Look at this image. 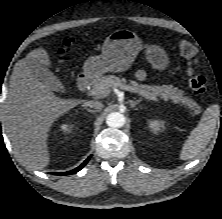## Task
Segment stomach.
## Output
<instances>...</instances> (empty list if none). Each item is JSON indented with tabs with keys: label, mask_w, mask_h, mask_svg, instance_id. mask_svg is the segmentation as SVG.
<instances>
[{
	"label": "stomach",
	"mask_w": 222,
	"mask_h": 219,
	"mask_svg": "<svg viewBox=\"0 0 222 219\" xmlns=\"http://www.w3.org/2000/svg\"><path fill=\"white\" fill-rule=\"evenodd\" d=\"M142 49H145L146 59L154 69L164 70L168 67L169 58L163 48L144 45L135 32L121 29L105 39L102 55L89 57L84 62L83 74L86 78L96 80L107 72L126 71Z\"/></svg>",
	"instance_id": "0dacf381"
}]
</instances>
